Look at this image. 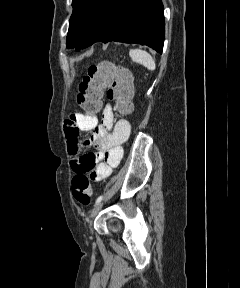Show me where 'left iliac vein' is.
<instances>
[{"instance_id":"obj_1","label":"left iliac vein","mask_w":240,"mask_h":288,"mask_svg":"<svg viewBox=\"0 0 240 288\" xmlns=\"http://www.w3.org/2000/svg\"><path fill=\"white\" fill-rule=\"evenodd\" d=\"M102 206H103V202H100L93 208V210L91 211V214H90L91 222H92V219L99 213ZM91 222H90V225H91Z\"/></svg>"}]
</instances>
